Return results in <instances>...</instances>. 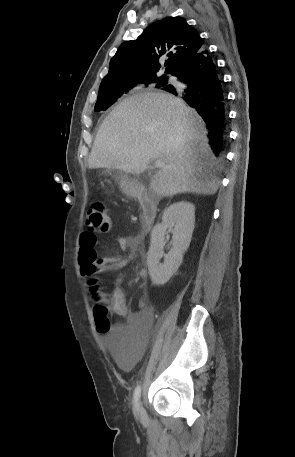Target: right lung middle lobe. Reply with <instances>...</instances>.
<instances>
[{"mask_svg": "<svg viewBox=\"0 0 295 457\" xmlns=\"http://www.w3.org/2000/svg\"><path fill=\"white\" fill-rule=\"evenodd\" d=\"M149 84L154 85L155 87L161 88L163 90L167 89L170 86L168 85L167 77L151 78L142 82V84L138 86H147ZM134 87L137 86H130L128 88H120L115 90L100 91L95 105V111L106 110L112 104H114L122 95L126 94L129 90L133 89Z\"/></svg>", "mask_w": 295, "mask_h": 457, "instance_id": "1", "label": "right lung middle lobe"}]
</instances>
